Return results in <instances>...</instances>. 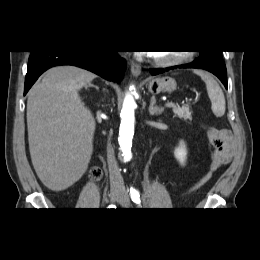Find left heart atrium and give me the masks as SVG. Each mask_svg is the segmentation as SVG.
Masks as SVG:
<instances>
[{
    "label": "left heart atrium",
    "instance_id": "left-heart-atrium-1",
    "mask_svg": "<svg viewBox=\"0 0 260 260\" xmlns=\"http://www.w3.org/2000/svg\"><path fill=\"white\" fill-rule=\"evenodd\" d=\"M147 54H149V55H154V53H153V52H148Z\"/></svg>",
    "mask_w": 260,
    "mask_h": 260
}]
</instances>
